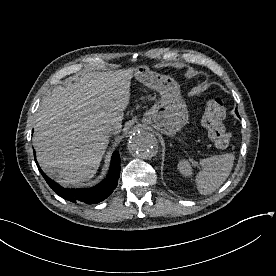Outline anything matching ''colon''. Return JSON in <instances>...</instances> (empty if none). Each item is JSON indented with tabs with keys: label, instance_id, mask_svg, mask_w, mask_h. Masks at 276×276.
I'll return each mask as SVG.
<instances>
[{
	"label": "colon",
	"instance_id": "5ec220e1",
	"mask_svg": "<svg viewBox=\"0 0 276 276\" xmlns=\"http://www.w3.org/2000/svg\"><path fill=\"white\" fill-rule=\"evenodd\" d=\"M227 109L221 97H215L208 101L201 119L203 127L207 130L209 138L216 147L225 149L229 146L231 135L226 131L223 120Z\"/></svg>",
	"mask_w": 276,
	"mask_h": 276
}]
</instances>
